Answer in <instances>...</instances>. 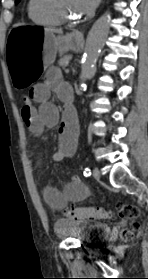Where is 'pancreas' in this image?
<instances>
[{
	"label": "pancreas",
	"instance_id": "1",
	"mask_svg": "<svg viewBox=\"0 0 148 279\" xmlns=\"http://www.w3.org/2000/svg\"><path fill=\"white\" fill-rule=\"evenodd\" d=\"M71 59L70 56H64L62 58H60V60L58 61V64L60 67H65L69 62V60Z\"/></svg>",
	"mask_w": 148,
	"mask_h": 279
}]
</instances>
